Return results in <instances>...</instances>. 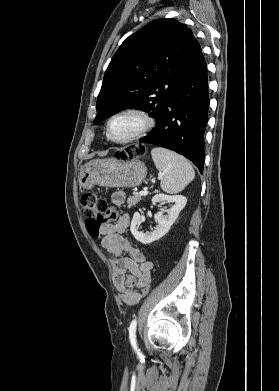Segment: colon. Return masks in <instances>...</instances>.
Here are the masks:
<instances>
[{
    "instance_id": "colon-1",
    "label": "colon",
    "mask_w": 279,
    "mask_h": 391,
    "mask_svg": "<svg viewBox=\"0 0 279 391\" xmlns=\"http://www.w3.org/2000/svg\"><path fill=\"white\" fill-rule=\"evenodd\" d=\"M145 148L143 146H136L127 150L119 152L118 157L126 161L133 157H140L144 154ZM81 205L83 214L86 218V227L89 234L98 238L100 236V228L103 221L107 218H114L116 212L111 210L108 203L95 194L86 193L81 198ZM150 290V284H147L141 290L142 297H145Z\"/></svg>"
}]
</instances>
